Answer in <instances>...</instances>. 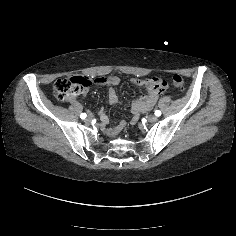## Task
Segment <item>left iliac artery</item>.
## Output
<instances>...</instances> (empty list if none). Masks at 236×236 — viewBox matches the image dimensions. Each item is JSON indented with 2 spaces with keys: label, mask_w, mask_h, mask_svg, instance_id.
I'll return each instance as SVG.
<instances>
[{
  "label": "left iliac artery",
  "mask_w": 236,
  "mask_h": 236,
  "mask_svg": "<svg viewBox=\"0 0 236 236\" xmlns=\"http://www.w3.org/2000/svg\"><path fill=\"white\" fill-rule=\"evenodd\" d=\"M154 114L159 117L161 115V111L160 110H156Z\"/></svg>",
  "instance_id": "obj_1"
}]
</instances>
